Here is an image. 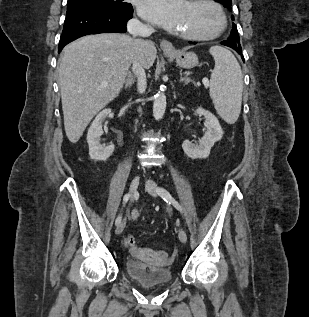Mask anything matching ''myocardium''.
Masks as SVG:
<instances>
[{
  "label": "myocardium",
  "instance_id": "myocardium-1",
  "mask_svg": "<svg viewBox=\"0 0 309 317\" xmlns=\"http://www.w3.org/2000/svg\"><path fill=\"white\" fill-rule=\"evenodd\" d=\"M190 2L202 3L212 7L218 16V25L210 33L196 34V33L181 32L180 36L184 39L191 40V41H210L221 36L227 27V18L221 5L217 3L215 0H190Z\"/></svg>",
  "mask_w": 309,
  "mask_h": 317
}]
</instances>
